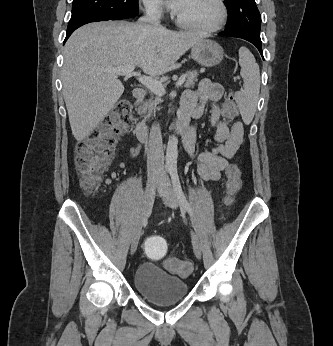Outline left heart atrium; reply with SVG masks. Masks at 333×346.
Here are the masks:
<instances>
[{
  "label": "left heart atrium",
  "instance_id": "left-heart-atrium-1",
  "mask_svg": "<svg viewBox=\"0 0 333 346\" xmlns=\"http://www.w3.org/2000/svg\"><path fill=\"white\" fill-rule=\"evenodd\" d=\"M186 0H166L168 6L176 13H178L184 6Z\"/></svg>",
  "mask_w": 333,
  "mask_h": 346
}]
</instances>
